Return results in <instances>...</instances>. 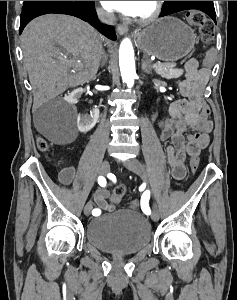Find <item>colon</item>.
<instances>
[{
    "label": "colon",
    "mask_w": 237,
    "mask_h": 300,
    "mask_svg": "<svg viewBox=\"0 0 237 300\" xmlns=\"http://www.w3.org/2000/svg\"><path fill=\"white\" fill-rule=\"evenodd\" d=\"M186 20L190 25L195 26L199 29L201 39L204 43H209L212 41L215 34V25L203 12L199 10H189L186 13ZM212 60H213V55L212 53H210L206 57L205 62L206 64H210ZM37 145L40 150H46L48 147L47 141L42 137L38 138ZM198 166H199V158L197 155H195L190 160V169L192 173H195L197 171ZM124 194H125V187L123 185L118 186L115 189L111 199L113 202L118 203L121 201Z\"/></svg>",
    "instance_id": "colon-1"
}]
</instances>
